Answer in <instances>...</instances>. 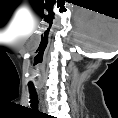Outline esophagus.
<instances>
[{"instance_id": "esophagus-1", "label": "esophagus", "mask_w": 118, "mask_h": 118, "mask_svg": "<svg viewBox=\"0 0 118 118\" xmlns=\"http://www.w3.org/2000/svg\"><path fill=\"white\" fill-rule=\"evenodd\" d=\"M41 103H42V111L44 112L45 111V106H44V103L42 101V98H41Z\"/></svg>"}]
</instances>
